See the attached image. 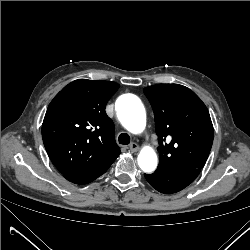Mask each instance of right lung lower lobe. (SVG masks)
I'll list each match as a JSON object with an SVG mask.
<instances>
[{
    "instance_id": "right-lung-lower-lobe-1",
    "label": "right lung lower lobe",
    "mask_w": 250,
    "mask_h": 250,
    "mask_svg": "<svg viewBox=\"0 0 250 250\" xmlns=\"http://www.w3.org/2000/svg\"><path fill=\"white\" fill-rule=\"evenodd\" d=\"M113 162L114 160H111L97 169H94L85 173H81V174L66 175L64 177L68 181L75 183V184H80V185L87 184V183L92 182L93 180L101 176L102 174H104Z\"/></svg>"
}]
</instances>
